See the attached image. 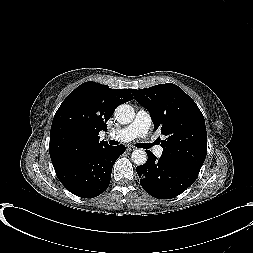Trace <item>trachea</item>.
I'll return each instance as SVG.
<instances>
[{
	"mask_svg": "<svg viewBox=\"0 0 253 253\" xmlns=\"http://www.w3.org/2000/svg\"><path fill=\"white\" fill-rule=\"evenodd\" d=\"M109 143H110L111 145H117V144H118V142L115 141V140H111ZM138 147L147 149V148H149V144L142 143V144H139Z\"/></svg>",
	"mask_w": 253,
	"mask_h": 253,
	"instance_id": "obj_1",
	"label": "trachea"
}]
</instances>
